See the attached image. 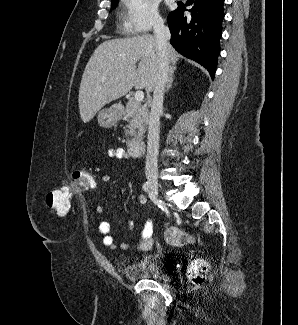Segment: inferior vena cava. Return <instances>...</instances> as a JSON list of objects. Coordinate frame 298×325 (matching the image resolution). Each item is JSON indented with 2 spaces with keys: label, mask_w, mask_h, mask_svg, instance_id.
I'll list each match as a JSON object with an SVG mask.
<instances>
[{
  "label": "inferior vena cava",
  "mask_w": 298,
  "mask_h": 325,
  "mask_svg": "<svg viewBox=\"0 0 298 325\" xmlns=\"http://www.w3.org/2000/svg\"><path fill=\"white\" fill-rule=\"evenodd\" d=\"M153 32L158 44V66L148 126L145 175L147 179H154L155 181L158 179L159 118L163 110L165 84L170 70L167 44L171 38V32L161 18H155Z\"/></svg>",
  "instance_id": "602c4592"
}]
</instances>
